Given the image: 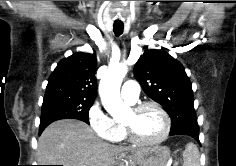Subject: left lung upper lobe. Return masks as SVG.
Instances as JSON below:
<instances>
[{
  "mask_svg": "<svg viewBox=\"0 0 236 166\" xmlns=\"http://www.w3.org/2000/svg\"><path fill=\"white\" fill-rule=\"evenodd\" d=\"M134 74L144 92L160 103L172 125L196 118L193 91L180 62L161 50H147L137 61Z\"/></svg>",
  "mask_w": 236,
  "mask_h": 166,
  "instance_id": "obj_1",
  "label": "left lung upper lobe"
}]
</instances>
